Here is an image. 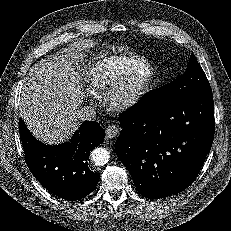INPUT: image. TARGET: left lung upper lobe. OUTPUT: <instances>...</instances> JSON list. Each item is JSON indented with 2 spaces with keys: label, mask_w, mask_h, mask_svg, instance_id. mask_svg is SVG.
<instances>
[{
  "label": "left lung upper lobe",
  "mask_w": 231,
  "mask_h": 231,
  "mask_svg": "<svg viewBox=\"0 0 231 231\" xmlns=\"http://www.w3.org/2000/svg\"><path fill=\"white\" fill-rule=\"evenodd\" d=\"M195 96H212V90L203 69L194 54H191L182 76L148 92L142 101L150 107L158 108Z\"/></svg>",
  "instance_id": "1"
}]
</instances>
